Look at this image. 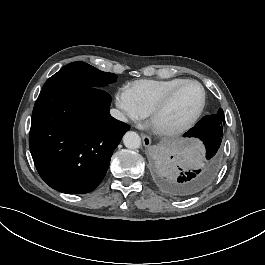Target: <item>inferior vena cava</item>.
I'll use <instances>...</instances> for the list:
<instances>
[{
	"label": "inferior vena cava",
	"mask_w": 265,
	"mask_h": 265,
	"mask_svg": "<svg viewBox=\"0 0 265 265\" xmlns=\"http://www.w3.org/2000/svg\"><path fill=\"white\" fill-rule=\"evenodd\" d=\"M110 114L112 117H114L117 120L123 121V122H127V118L123 115L122 112H120L117 109H111L110 110Z\"/></svg>",
	"instance_id": "1"
}]
</instances>
